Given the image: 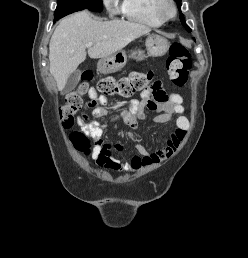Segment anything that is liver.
Wrapping results in <instances>:
<instances>
[{"instance_id":"liver-1","label":"liver","mask_w":248,"mask_h":258,"mask_svg":"<svg viewBox=\"0 0 248 258\" xmlns=\"http://www.w3.org/2000/svg\"><path fill=\"white\" fill-rule=\"evenodd\" d=\"M145 25L124 20L97 21L87 11L62 19L49 44L50 73L59 90L86 59V44L92 59L110 56L142 35L150 33Z\"/></svg>"}]
</instances>
